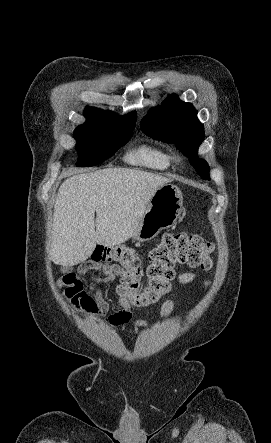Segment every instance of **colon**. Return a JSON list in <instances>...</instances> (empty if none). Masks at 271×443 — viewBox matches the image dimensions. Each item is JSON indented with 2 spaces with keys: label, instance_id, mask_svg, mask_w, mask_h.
<instances>
[{
  "label": "colon",
  "instance_id": "5ec220e1",
  "mask_svg": "<svg viewBox=\"0 0 271 443\" xmlns=\"http://www.w3.org/2000/svg\"><path fill=\"white\" fill-rule=\"evenodd\" d=\"M213 245L198 235L187 233L166 234L148 252L147 282L140 281L141 260L138 253L125 245H97L92 261L99 264L116 262L121 267L118 293L134 308L156 304L170 290L176 265L212 267Z\"/></svg>",
  "mask_w": 271,
  "mask_h": 443
}]
</instances>
